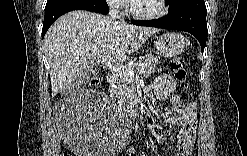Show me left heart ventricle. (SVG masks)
<instances>
[{
	"label": "left heart ventricle",
	"instance_id": "obj_1",
	"mask_svg": "<svg viewBox=\"0 0 247 156\" xmlns=\"http://www.w3.org/2000/svg\"><path fill=\"white\" fill-rule=\"evenodd\" d=\"M136 10L141 14H149L157 11L159 3L156 0L134 1Z\"/></svg>",
	"mask_w": 247,
	"mask_h": 156
}]
</instances>
